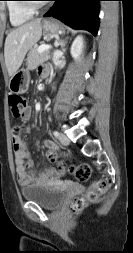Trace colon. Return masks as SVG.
<instances>
[{
	"instance_id": "obj_1",
	"label": "colon",
	"mask_w": 133,
	"mask_h": 253,
	"mask_svg": "<svg viewBox=\"0 0 133 253\" xmlns=\"http://www.w3.org/2000/svg\"><path fill=\"white\" fill-rule=\"evenodd\" d=\"M9 107L11 114L15 118H23L27 103L26 99L18 94H13L9 96ZM48 158L51 161H55L56 157L53 152L48 154ZM66 169L64 165H60V170ZM71 172L79 181H87L91 176V167L88 164L82 163L71 167ZM109 180L107 178H100L92 182L85 194L81 197L75 198L70 203V208L72 211H77L84 208L89 202L97 200L101 195H103L109 188Z\"/></svg>"
}]
</instances>
